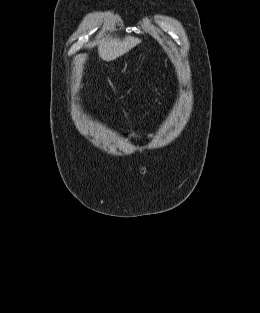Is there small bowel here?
Instances as JSON below:
<instances>
[{"mask_svg":"<svg viewBox=\"0 0 260 313\" xmlns=\"http://www.w3.org/2000/svg\"><path fill=\"white\" fill-rule=\"evenodd\" d=\"M149 136L147 137H141V136H135V135H128L126 136V141L128 142H140V141H145L148 139Z\"/></svg>","mask_w":260,"mask_h":313,"instance_id":"c3829d8e","label":"small bowel"}]
</instances>
